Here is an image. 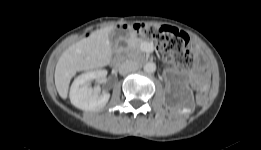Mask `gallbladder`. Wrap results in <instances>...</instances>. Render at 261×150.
Returning a JSON list of instances; mask_svg holds the SVG:
<instances>
[{
	"label": "gallbladder",
	"instance_id": "bac80fb5",
	"mask_svg": "<svg viewBox=\"0 0 261 150\" xmlns=\"http://www.w3.org/2000/svg\"><path fill=\"white\" fill-rule=\"evenodd\" d=\"M120 35H121L120 31H114L110 34V43H111L112 46H114V44L117 42Z\"/></svg>",
	"mask_w": 261,
	"mask_h": 150
}]
</instances>
